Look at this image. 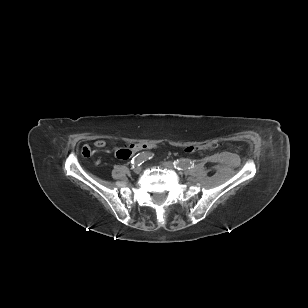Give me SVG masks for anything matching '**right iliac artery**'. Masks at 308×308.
<instances>
[{
    "mask_svg": "<svg viewBox=\"0 0 308 308\" xmlns=\"http://www.w3.org/2000/svg\"><path fill=\"white\" fill-rule=\"evenodd\" d=\"M153 156V154L149 153V152H142L137 154L131 161V163L133 164V166L135 165H141L142 163H144L145 161L151 159Z\"/></svg>",
    "mask_w": 308,
    "mask_h": 308,
    "instance_id": "1",
    "label": "right iliac artery"
}]
</instances>
